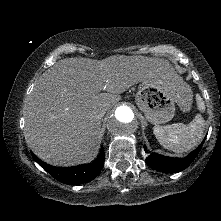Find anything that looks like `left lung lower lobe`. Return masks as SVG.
<instances>
[{
    "label": "left lung lower lobe",
    "instance_id": "0a47b994",
    "mask_svg": "<svg viewBox=\"0 0 221 221\" xmlns=\"http://www.w3.org/2000/svg\"><path fill=\"white\" fill-rule=\"evenodd\" d=\"M203 143H204V140L193 152H191L185 158H173V157L159 155L156 153H151V155H149L146 158V163L151 168L161 171V172L169 173V172H178V171L184 170L195 159V157L201 150ZM144 149H145V152L147 153L145 146H144Z\"/></svg>",
    "mask_w": 221,
    "mask_h": 221
}]
</instances>
